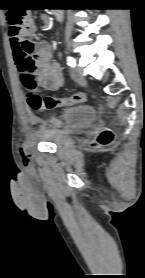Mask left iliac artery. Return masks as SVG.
Returning <instances> with one entry per match:
<instances>
[{
    "mask_svg": "<svg viewBox=\"0 0 145 278\" xmlns=\"http://www.w3.org/2000/svg\"><path fill=\"white\" fill-rule=\"evenodd\" d=\"M67 62H68V65L70 67H75V65H76V61H75V59L73 57H68L67 58Z\"/></svg>",
    "mask_w": 145,
    "mask_h": 278,
    "instance_id": "left-iliac-artery-1",
    "label": "left iliac artery"
}]
</instances>
